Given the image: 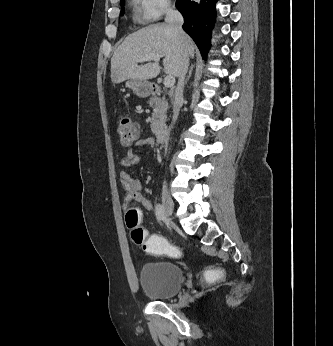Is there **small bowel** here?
<instances>
[{
  "label": "small bowel",
  "instance_id": "small-bowel-1",
  "mask_svg": "<svg viewBox=\"0 0 333 346\" xmlns=\"http://www.w3.org/2000/svg\"><path fill=\"white\" fill-rule=\"evenodd\" d=\"M155 140L153 138H143L139 139L136 143V147L154 146ZM143 158L142 154L136 153L133 149H130L126 156L122 159V165L132 166L139 163ZM120 180L122 186L126 192V201H136L142 205L146 210H153V205L151 201L146 198L142 193V183L131 176L127 171H122L120 174ZM143 248V247H142Z\"/></svg>",
  "mask_w": 333,
  "mask_h": 346
}]
</instances>
